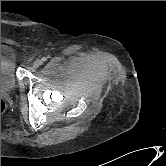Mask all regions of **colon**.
<instances>
[{
	"mask_svg": "<svg viewBox=\"0 0 166 166\" xmlns=\"http://www.w3.org/2000/svg\"><path fill=\"white\" fill-rule=\"evenodd\" d=\"M6 104L3 99H1V115L5 112Z\"/></svg>",
	"mask_w": 166,
	"mask_h": 166,
	"instance_id": "obj_1",
	"label": "colon"
}]
</instances>
